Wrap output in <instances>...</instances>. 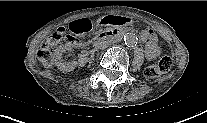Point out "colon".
<instances>
[{
  "label": "colon",
  "mask_w": 207,
  "mask_h": 123,
  "mask_svg": "<svg viewBox=\"0 0 207 123\" xmlns=\"http://www.w3.org/2000/svg\"><path fill=\"white\" fill-rule=\"evenodd\" d=\"M62 38L69 41L73 40V36L71 34L65 33V31L62 29L59 32H56L53 37L38 50V57L45 65L50 66L52 64L50 57L52 47ZM172 65L173 60L171 56L166 55L163 56L156 64L146 67L144 74L147 78H156L170 71Z\"/></svg>",
  "instance_id": "1"
}]
</instances>
